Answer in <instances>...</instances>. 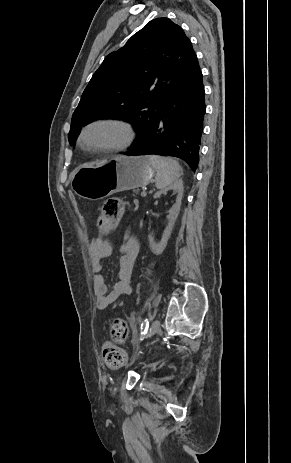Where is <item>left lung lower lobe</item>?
<instances>
[{"mask_svg":"<svg viewBox=\"0 0 291 463\" xmlns=\"http://www.w3.org/2000/svg\"><path fill=\"white\" fill-rule=\"evenodd\" d=\"M204 96L202 72L199 68L169 94L146 132L125 155L177 157L195 171L199 163L206 112Z\"/></svg>","mask_w":291,"mask_h":463,"instance_id":"1","label":"left lung lower lobe"}]
</instances>
